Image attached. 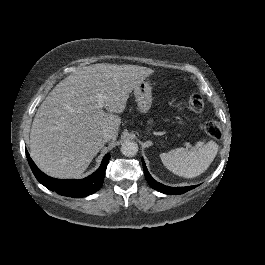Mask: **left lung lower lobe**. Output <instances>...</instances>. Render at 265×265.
<instances>
[{"mask_svg":"<svg viewBox=\"0 0 265 265\" xmlns=\"http://www.w3.org/2000/svg\"><path fill=\"white\" fill-rule=\"evenodd\" d=\"M142 163H143V169H144V174H145V178L147 180V182L149 183V185L155 189L158 190L159 192L165 193V194H172V195H177V194H183L191 189H194L196 186H187V187H170V186H166L163 185L157 181H155L151 175L149 174L146 166H145V162L142 159Z\"/></svg>","mask_w":265,"mask_h":265,"instance_id":"left-lung-lower-lobe-1","label":"left lung lower lobe"}]
</instances>
